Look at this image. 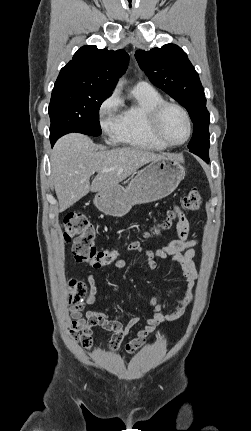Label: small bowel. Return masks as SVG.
Instances as JSON below:
<instances>
[{"mask_svg":"<svg viewBox=\"0 0 251 431\" xmlns=\"http://www.w3.org/2000/svg\"><path fill=\"white\" fill-rule=\"evenodd\" d=\"M176 229L177 238L169 241L161 248L147 249L138 244H132L128 248L129 250H137L145 253L147 256L146 266L151 271L158 268L157 259L174 263L180 268L187 282V289L183 297L178 301L175 309L164 314L163 311L166 308V303H161L158 298L152 297L149 300L151 313L147 317L145 325L140 327L138 331L132 332V328L138 324L139 318L135 317L124 323L118 318H111L107 312L90 308L95 303L98 292L96 276L90 274L87 277L89 292L85 301L89 309H87L84 314L82 313L83 305H73L70 309V332L83 348L89 349L92 345V328L101 327L104 330L112 332L109 341V348L112 351L118 350L123 339L130 335L132 338L125 345V350L128 353H132L143 345L146 338L154 332L160 324L172 322L182 317L193 300V286L198 278L193 260L196 255L197 243L195 240L188 238L190 225L188 219L182 213L179 214ZM113 266L116 269H124L126 268V262L124 260H117L114 262ZM85 357H91V352H85Z\"/></svg>","mask_w":251,"mask_h":431,"instance_id":"obj_1","label":"small bowel"}]
</instances>
